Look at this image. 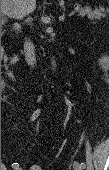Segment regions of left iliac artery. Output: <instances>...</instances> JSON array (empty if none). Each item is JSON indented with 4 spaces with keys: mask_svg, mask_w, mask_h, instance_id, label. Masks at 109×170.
I'll return each instance as SVG.
<instances>
[{
    "mask_svg": "<svg viewBox=\"0 0 109 170\" xmlns=\"http://www.w3.org/2000/svg\"><path fill=\"white\" fill-rule=\"evenodd\" d=\"M81 166H82V167H85V163L82 162V163H81Z\"/></svg>",
    "mask_w": 109,
    "mask_h": 170,
    "instance_id": "1",
    "label": "left iliac artery"
}]
</instances>
